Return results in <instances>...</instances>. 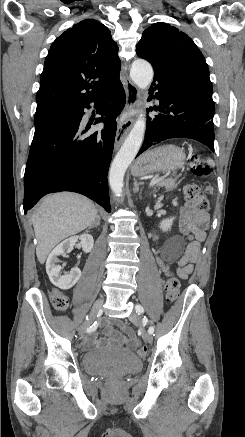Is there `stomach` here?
Returning a JSON list of instances; mask_svg holds the SVG:
<instances>
[{
    "instance_id": "stomach-1",
    "label": "stomach",
    "mask_w": 245,
    "mask_h": 437,
    "mask_svg": "<svg viewBox=\"0 0 245 437\" xmlns=\"http://www.w3.org/2000/svg\"><path fill=\"white\" fill-rule=\"evenodd\" d=\"M184 151L175 145H163L140 156L132 167L134 176H146L154 172H169L185 164Z\"/></svg>"
}]
</instances>
